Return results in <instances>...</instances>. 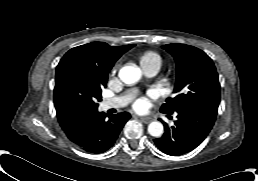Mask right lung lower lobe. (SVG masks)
<instances>
[{
	"instance_id": "1",
	"label": "right lung lower lobe",
	"mask_w": 258,
	"mask_h": 181,
	"mask_svg": "<svg viewBox=\"0 0 258 181\" xmlns=\"http://www.w3.org/2000/svg\"><path fill=\"white\" fill-rule=\"evenodd\" d=\"M56 114L67 137L79 148L96 154L114 145L124 124L130 119V114L126 112L106 119L105 113L82 107L59 109Z\"/></svg>"
}]
</instances>
